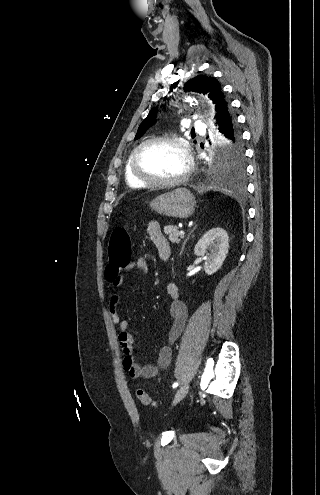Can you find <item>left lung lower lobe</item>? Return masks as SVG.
Instances as JSON below:
<instances>
[{
    "instance_id": "left-lung-lower-lobe-1",
    "label": "left lung lower lobe",
    "mask_w": 320,
    "mask_h": 495,
    "mask_svg": "<svg viewBox=\"0 0 320 495\" xmlns=\"http://www.w3.org/2000/svg\"><path fill=\"white\" fill-rule=\"evenodd\" d=\"M215 129L217 131V136L221 138H226L232 135L233 130L236 126L235 116L231 113L230 109L224 111L215 121Z\"/></svg>"
}]
</instances>
